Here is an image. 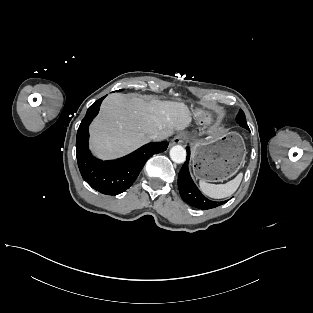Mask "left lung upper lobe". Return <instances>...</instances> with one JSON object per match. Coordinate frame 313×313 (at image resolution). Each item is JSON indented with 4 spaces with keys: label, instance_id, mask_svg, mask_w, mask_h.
<instances>
[{
    "label": "left lung upper lobe",
    "instance_id": "5c2ea615",
    "mask_svg": "<svg viewBox=\"0 0 313 313\" xmlns=\"http://www.w3.org/2000/svg\"><path fill=\"white\" fill-rule=\"evenodd\" d=\"M236 121H237V123H238L241 127L245 128V129H247V130H249V127H248V125H247V123H246L245 114H244V112H243L242 110L239 111V113H238V115H237V117H236Z\"/></svg>",
    "mask_w": 313,
    "mask_h": 313
}]
</instances>
